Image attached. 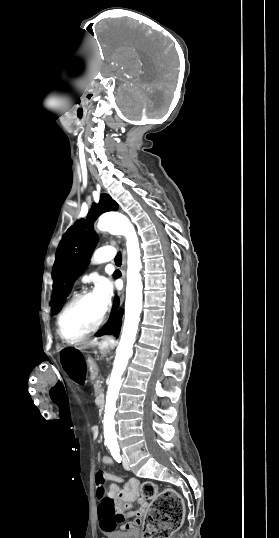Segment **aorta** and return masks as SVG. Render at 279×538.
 Masks as SVG:
<instances>
[{"mask_svg":"<svg viewBox=\"0 0 279 538\" xmlns=\"http://www.w3.org/2000/svg\"><path fill=\"white\" fill-rule=\"evenodd\" d=\"M97 227L101 231H109L112 234L125 236L127 247L125 319L108 385L104 415L105 443L112 450L118 448L114 415L116 412V401L122 384L121 377L132 354L142 310L143 285L140 275L142 263L135 228L126 216L119 213L104 214L99 218Z\"/></svg>","mask_w":279,"mask_h":538,"instance_id":"1","label":"aorta"}]
</instances>
